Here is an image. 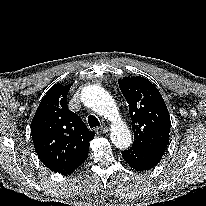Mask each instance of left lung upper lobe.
I'll list each match as a JSON object with an SVG mask.
<instances>
[{"instance_id": "obj_1", "label": "left lung upper lobe", "mask_w": 206, "mask_h": 206, "mask_svg": "<svg viewBox=\"0 0 206 206\" xmlns=\"http://www.w3.org/2000/svg\"><path fill=\"white\" fill-rule=\"evenodd\" d=\"M120 90L129 104L133 147L164 152L169 142L170 116L158 89L146 78H123Z\"/></svg>"}]
</instances>
